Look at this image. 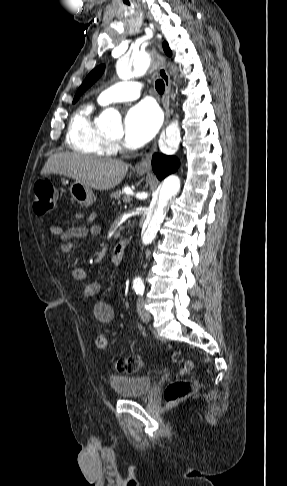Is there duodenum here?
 Listing matches in <instances>:
<instances>
[{
	"mask_svg": "<svg viewBox=\"0 0 287 486\" xmlns=\"http://www.w3.org/2000/svg\"><path fill=\"white\" fill-rule=\"evenodd\" d=\"M128 246V240H122L118 242L114 248V256L122 259L126 253Z\"/></svg>",
	"mask_w": 287,
	"mask_h": 486,
	"instance_id": "duodenum-1",
	"label": "duodenum"
}]
</instances>
